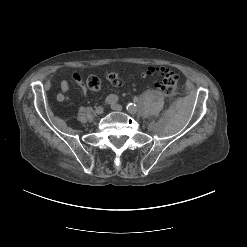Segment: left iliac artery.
Listing matches in <instances>:
<instances>
[{
	"label": "left iliac artery",
	"instance_id": "obj_1",
	"mask_svg": "<svg viewBox=\"0 0 247 247\" xmlns=\"http://www.w3.org/2000/svg\"><path fill=\"white\" fill-rule=\"evenodd\" d=\"M126 109H127L128 113L131 114V115L132 114L136 115L140 111L139 107L136 104H134V103H129L126 106Z\"/></svg>",
	"mask_w": 247,
	"mask_h": 247
}]
</instances>
